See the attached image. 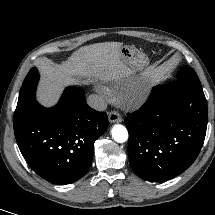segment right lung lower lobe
I'll list each match as a JSON object with an SVG mask.
<instances>
[{"label": "right lung lower lobe", "mask_w": 215, "mask_h": 215, "mask_svg": "<svg viewBox=\"0 0 215 215\" xmlns=\"http://www.w3.org/2000/svg\"><path fill=\"white\" fill-rule=\"evenodd\" d=\"M107 127L106 113L85 104L82 89L67 87L54 107L35 100L14 133L35 173L53 184H69L89 170L94 142Z\"/></svg>", "instance_id": "right-lung-lower-lobe-1"}]
</instances>
